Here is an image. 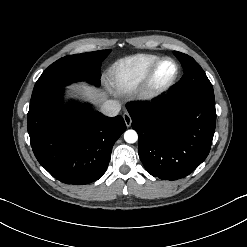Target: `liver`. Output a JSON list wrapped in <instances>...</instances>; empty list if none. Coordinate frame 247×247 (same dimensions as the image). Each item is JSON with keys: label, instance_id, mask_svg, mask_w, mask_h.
<instances>
[{"label": "liver", "instance_id": "liver-1", "mask_svg": "<svg viewBox=\"0 0 247 247\" xmlns=\"http://www.w3.org/2000/svg\"><path fill=\"white\" fill-rule=\"evenodd\" d=\"M73 92L82 93L84 97L96 103H102L106 95L99 89L88 86L85 83L75 84L69 87Z\"/></svg>", "mask_w": 247, "mask_h": 247}]
</instances>
